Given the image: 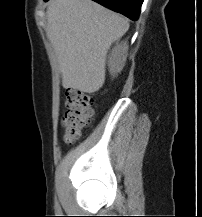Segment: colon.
Segmentation results:
<instances>
[{
	"instance_id": "5ec220e1",
	"label": "colon",
	"mask_w": 202,
	"mask_h": 217,
	"mask_svg": "<svg viewBox=\"0 0 202 217\" xmlns=\"http://www.w3.org/2000/svg\"><path fill=\"white\" fill-rule=\"evenodd\" d=\"M67 110L63 116L64 141L78 140L91 123L93 117V97L87 93L68 89L66 91Z\"/></svg>"
}]
</instances>
